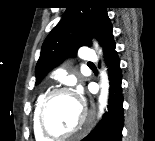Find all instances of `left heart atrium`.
Listing matches in <instances>:
<instances>
[{"label": "left heart atrium", "mask_w": 155, "mask_h": 141, "mask_svg": "<svg viewBox=\"0 0 155 141\" xmlns=\"http://www.w3.org/2000/svg\"><path fill=\"white\" fill-rule=\"evenodd\" d=\"M75 99L77 100V102H78L79 104H81V96H80V93H79V92H77V94H76V96H75Z\"/></svg>", "instance_id": "39dd6f15"}]
</instances>
